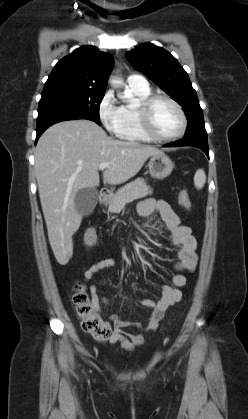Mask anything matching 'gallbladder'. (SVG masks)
Masks as SVG:
<instances>
[{
  "label": "gallbladder",
  "instance_id": "bac80fb5",
  "mask_svg": "<svg viewBox=\"0 0 248 419\" xmlns=\"http://www.w3.org/2000/svg\"><path fill=\"white\" fill-rule=\"evenodd\" d=\"M99 194L94 188H84L77 192L75 196V208L76 210L86 216L93 212L97 202Z\"/></svg>",
  "mask_w": 248,
  "mask_h": 419
}]
</instances>
